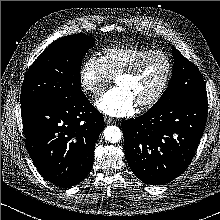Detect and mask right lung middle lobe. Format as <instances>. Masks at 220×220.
I'll return each instance as SVG.
<instances>
[{
  "label": "right lung middle lobe",
  "instance_id": "dd1d6c3e",
  "mask_svg": "<svg viewBox=\"0 0 220 220\" xmlns=\"http://www.w3.org/2000/svg\"><path fill=\"white\" fill-rule=\"evenodd\" d=\"M95 39L82 34L54 41L31 65L21 89V105L70 102L83 96L80 69Z\"/></svg>",
  "mask_w": 220,
  "mask_h": 220
}]
</instances>
